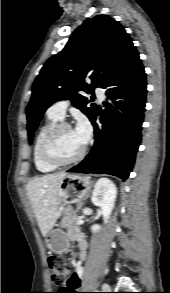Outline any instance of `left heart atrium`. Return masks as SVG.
Listing matches in <instances>:
<instances>
[{
	"instance_id": "obj_1",
	"label": "left heart atrium",
	"mask_w": 170,
	"mask_h": 293,
	"mask_svg": "<svg viewBox=\"0 0 170 293\" xmlns=\"http://www.w3.org/2000/svg\"><path fill=\"white\" fill-rule=\"evenodd\" d=\"M79 140L85 144L90 132L89 124L86 121H82L78 124L76 129L74 130Z\"/></svg>"
}]
</instances>
